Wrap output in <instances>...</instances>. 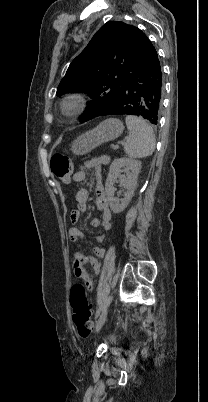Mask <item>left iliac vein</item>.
<instances>
[{"label":"left iliac vein","instance_id":"4c4485c4","mask_svg":"<svg viewBox=\"0 0 208 402\" xmlns=\"http://www.w3.org/2000/svg\"><path fill=\"white\" fill-rule=\"evenodd\" d=\"M107 314H108V309L105 308L102 313L100 314L97 322H96V332H99L100 329L102 328L106 318H107Z\"/></svg>","mask_w":208,"mask_h":402}]
</instances>
